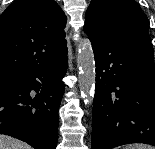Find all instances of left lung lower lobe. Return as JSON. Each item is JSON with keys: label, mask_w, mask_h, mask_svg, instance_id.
<instances>
[{"label": "left lung lower lobe", "mask_w": 155, "mask_h": 149, "mask_svg": "<svg viewBox=\"0 0 155 149\" xmlns=\"http://www.w3.org/2000/svg\"><path fill=\"white\" fill-rule=\"evenodd\" d=\"M89 39L96 64L92 149L155 146V64L148 32Z\"/></svg>", "instance_id": "1"}]
</instances>
